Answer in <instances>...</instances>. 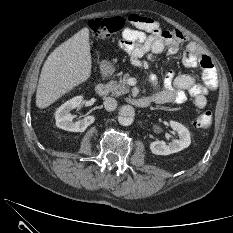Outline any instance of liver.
<instances>
[{
    "label": "liver",
    "instance_id": "1",
    "mask_svg": "<svg viewBox=\"0 0 233 233\" xmlns=\"http://www.w3.org/2000/svg\"><path fill=\"white\" fill-rule=\"evenodd\" d=\"M89 30L83 28L57 47L45 61L36 92V106L46 108L91 75Z\"/></svg>",
    "mask_w": 233,
    "mask_h": 233
}]
</instances>
